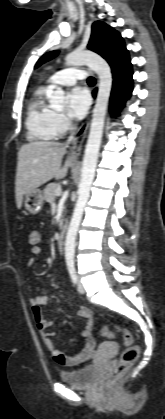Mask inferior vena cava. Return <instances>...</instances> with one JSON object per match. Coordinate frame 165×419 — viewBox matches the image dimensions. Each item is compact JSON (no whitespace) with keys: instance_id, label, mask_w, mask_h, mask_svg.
<instances>
[{"instance_id":"1","label":"inferior vena cava","mask_w":165,"mask_h":419,"mask_svg":"<svg viewBox=\"0 0 165 419\" xmlns=\"http://www.w3.org/2000/svg\"><path fill=\"white\" fill-rule=\"evenodd\" d=\"M73 139V133L71 134V136L69 137V139H68V141H67V144H69L70 143V141Z\"/></svg>"}]
</instances>
